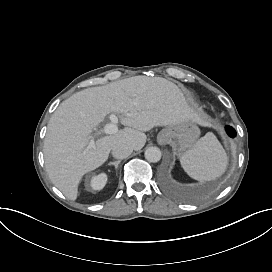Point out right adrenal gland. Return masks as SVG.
<instances>
[{
    "instance_id": "obj_1",
    "label": "right adrenal gland",
    "mask_w": 272,
    "mask_h": 272,
    "mask_svg": "<svg viewBox=\"0 0 272 272\" xmlns=\"http://www.w3.org/2000/svg\"><path fill=\"white\" fill-rule=\"evenodd\" d=\"M120 162H121V160H118L116 162L110 163L109 166H114L115 169H117Z\"/></svg>"
}]
</instances>
